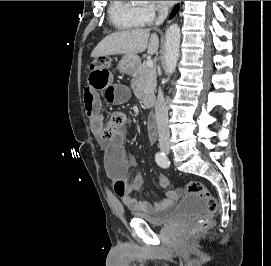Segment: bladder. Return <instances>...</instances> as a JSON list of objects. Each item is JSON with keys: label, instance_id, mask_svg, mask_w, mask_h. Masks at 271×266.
<instances>
[{"label": "bladder", "instance_id": "31cf9c89", "mask_svg": "<svg viewBox=\"0 0 271 266\" xmlns=\"http://www.w3.org/2000/svg\"><path fill=\"white\" fill-rule=\"evenodd\" d=\"M205 208L203 199L195 193H188L182 201L169 212L161 216H149L141 213H134L135 218L141 219L153 226H163L171 222L183 220L191 215L201 213Z\"/></svg>", "mask_w": 271, "mask_h": 266}]
</instances>
